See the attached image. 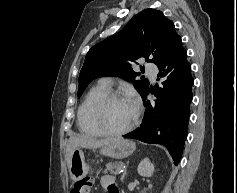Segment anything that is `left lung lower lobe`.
<instances>
[{
	"mask_svg": "<svg viewBox=\"0 0 237 193\" xmlns=\"http://www.w3.org/2000/svg\"><path fill=\"white\" fill-rule=\"evenodd\" d=\"M157 66L158 80L162 79L163 82L148 87L141 96L146 106L141 127L124 137L164 145L177 165L187 137L191 87L194 82L181 38ZM149 93L157 98L154 102L147 100Z\"/></svg>",
	"mask_w": 237,
	"mask_h": 193,
	"instance_id": "left-lung-lower-lobe-1",
	"label": "left lung lower lobe"
}]
</instances>
